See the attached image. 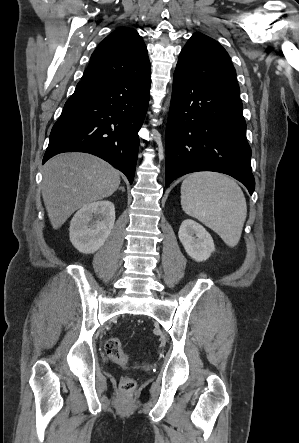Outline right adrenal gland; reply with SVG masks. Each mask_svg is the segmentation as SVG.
Instances as JSON below:
<instances>
[{
    "instance_id": "obj_1",
    "label": "right adrenal gland",
    "mask_w": 299,
    "mask_h": 443,
    "mask_svg": "<svg viewBox=\"0 0 299 443\" xmlns=\"http://www.w3.org/2000/svg\"><path fill=\"white\" fill-rule=\"evenodd\" d=\"M119 190H122V192H124L125 190H124V187H120L119 188Z\"/></svg>"
}]
</instances>
